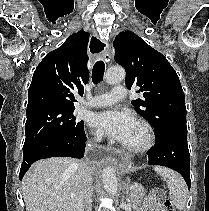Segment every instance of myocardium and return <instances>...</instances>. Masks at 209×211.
<instances>
[{"mask_svg": "<svg viewBox=\"0 0 209 211\" xmlns=\"http://www.w3.org/2000/svg\"><path fill=\"white\" fill-rule=\"evenodd\" d=\"M136 124L142 129L143 132L142 142L134 146H129L126 144L122 145L125 151L132 154H140L147 152L152 148L155 142L154 130L149 122L143 119H138L136 120Z\"/></svg>", "mask_w": 209, "mask_h": 211, "instance_id": "1", "label": "myocardium"}]
</instances>
